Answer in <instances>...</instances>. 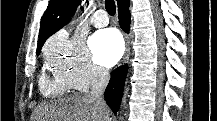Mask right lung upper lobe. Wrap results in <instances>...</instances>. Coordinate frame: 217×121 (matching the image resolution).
Returning a JSON list of instances; mask_svg holds the SVG:
<instances>
[{
    "instance_id": "cb5924a9",
    "label": "right lung upper lobe",
    "mask_w": 217,
    "mask_h": 121,
    "mask_svg": "<svg viewBox=\"0 0 217 121\" xmlns=\"http://www.w3.org/2000/svg\"><path fill=\"white\" fill-rule=\"evenodd\" d=\"M121 1L117 0L118 3ZM77 5V0H50L41 20L37 52L51 35L70 21Z\"/></svg>"
}]
</instances>
